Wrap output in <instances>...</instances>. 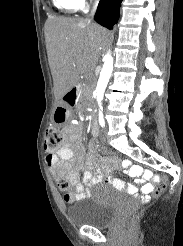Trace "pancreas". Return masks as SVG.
I'll use <instances>...</instances> for the list:
<instances>
[{"label": "pancreas", "instance_id": "obj_1", "mask_svg": "<svg viewBox=\"0 0 183 246\" xmlns=\"http://www.w3.org/2000/svg\"><path fill=\"white\" fill-rule=\"evenodd\" d=\"M83 94H86V90H85V88L83 89Z\"/></svg>", "mask_w": 183, "mask_h": 246}]
</instances>
